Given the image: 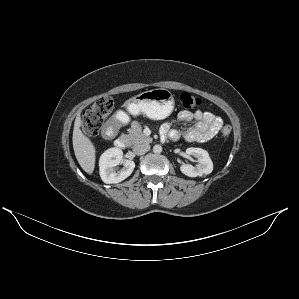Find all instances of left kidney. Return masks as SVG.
<instances>
[{"label":"left kidney","instance_id":"left-kidney-1","mask_svg":"<svg viewBox=\"0 0 299 299\" xmlns=\"http://www.w3.org/2000/svg\"><path fill=\"white\" fill-rule=\"evenodd\" d=\"M186 153L195 156L199 164L197 167L189 164H182L180 170L183 174L188 177H198L208 175L213 171V163L206 150L191 147L186 149Z\"/></svg>","mask_w":299,"mask_h":299}]
</instances>
